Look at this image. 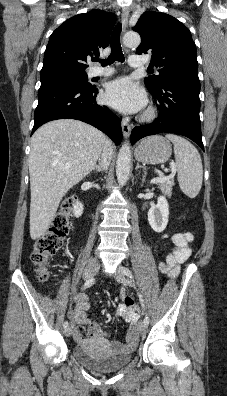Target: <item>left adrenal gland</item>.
Instances as JSON below:
<instances>
[{"label": "left adrenal gland", "instance_id": "left-adrenal-gland-1", "mask_svg": "<svg viewBox=\"0 0 227 396\" xmlns=\"http://www.w3.org/2000/svg\"><path fill=\"white\" fill-rule=\"evenodd\" d=\"M139 168H142L143 170H145V168H144L143 166H141V165L137 162L136 170L139 169ZM144 178H145V175H143V177H142V183H144Z\"/></svg>", "mask_w": 227, "mask_h": 396}]
</instances>
